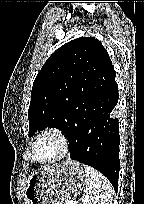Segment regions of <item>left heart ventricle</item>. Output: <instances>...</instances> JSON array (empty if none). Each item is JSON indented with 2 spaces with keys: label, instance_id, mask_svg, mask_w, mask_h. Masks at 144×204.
Returning <instances> with one entry per match:
<instances>
[{
  "label": "left heart ventricle",
  "instance_id": "b2bd125f",
  "mask_svg": "<svg viewBox=\"0 0 144 204\" xmlns=\"http://www.w3.org/2000/svg\"><path fill=\"white\" fill-rule=\"evenodd\" d=\"M61 152V143L55 136L42 137L36 145V157L40 161H49Z\"/></svg>",
  "mask_w": 144,
  "mask_h": 204
}]
</instances>
